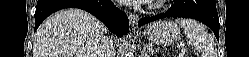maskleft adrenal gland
<instances>
[{"mask_svg":"<svg viewBox=\"0 0 249 57\" xmlns=\"http://www.w3.org/2000/svg\"><path fill=\"white\" fill-rule=\"evenodd\" d=\"M157 51L152 49L150 46L145 45L142 50V56L143 57H152Z\"/></svg>","mask_w":249,"mask_h":57,"instance_id":"a2214340","label":"left adrenal gland"}]
</instances>
